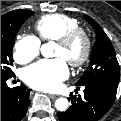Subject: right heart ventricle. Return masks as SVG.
<instances>
[{
    "instance_id": "right-heart-ventricle-1",
    "label": "right heart ventricle",
    "mask_w": 121,
    "mask_h": 121,
    "mask_svg": "<svg viewBox=\"0 0 121 121\" xmlns=\"http://www.w3.org/2000/svg\"><path fill=\"white\" fill-rule=\"evenodd\" d=\"M80 27L77 19L63 15L50 14L35 23V29L43 40L57 41L68 31Z\"/></svg>"
}]
</instances>
